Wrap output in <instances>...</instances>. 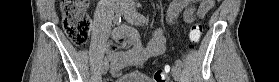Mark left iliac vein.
Listing matches in <instances>:
<instances>
[{
  "label": "left iliac vein",
  "mask_w": 279,
  "mask_h": 82,
  "mask_svg": "<svg viewBox=\"0 0 279 82\" xmlns=\"http://www.w3.org/2000/svg\"><path fill=\"white\" fill-rule=\"evenodd\" d=\"M124 17L128 23L132 25H140V21L137 18L136 10L133 7L126 8ZM171 72L175 80L182 81L183 74L179 66H173Z\"/></svg>",
  "instance_id": "left-iliac-vein-1"
}]
</instances>
